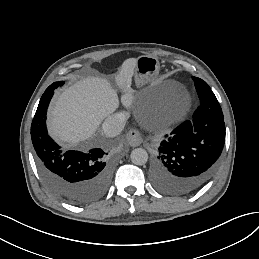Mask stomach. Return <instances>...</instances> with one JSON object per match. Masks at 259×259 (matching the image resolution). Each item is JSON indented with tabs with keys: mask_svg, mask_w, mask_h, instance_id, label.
<instances>
[{
	"mask_svg": "<svg viewBox=\"0 0 259 259\" xmlns=\"http://www.w3.org/2000/svg\"><path fill=\"white\" fill-rule=\"evenodd\" d=\"M160 63L154 56L142 55L137 58L136 72L142 76H155L159 73Z\"/></svg>",
	"mask_w": 259,
	"mask_h": 259,
	"instance_id": "stomach-1",
	"label": "stomach"
}]
</instances>
